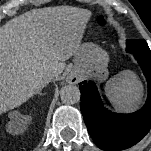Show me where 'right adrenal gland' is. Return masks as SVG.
<instances>
[{"mask_svg": "<svg viewBox=\"0 0 151 151\" xmlns=\"http://www.w3.org/2000/svg\"><path fill=\"white\" fill-rule=\"evenodd\" d=\"M37 94H39V95H41V96H43L44 94L43 93H41V92H38Z\"/></svg>", "mask_w": 151, "mask_h": 151, "instance_id": "2a0ac1e0", "label": "right adrenal gland"}]
</instances>
